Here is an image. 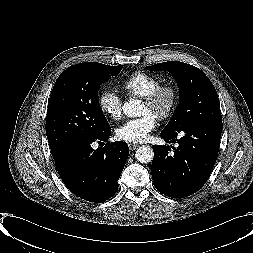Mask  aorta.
Listing matches in <instances>:
<instances>
[{
  "label": "aorta",
  "instance_id": "762f6f07",
  "mask_svg": "<svg viewBox=\"0 0 253 253\" xmlns=\"http://www.w3.org/2000/svg\"><path fill=\"white\" fill-rule=\"evenodd\" d=\"M123 112L127 117L139 116L141 102L138 99H130L123 105ZM154 152L149 146H141L137 149L135 157L140 163H149L153 160Z\"/></svg>",
  "mask_w": 253,
  "mask_h": 253
}]
</instances>
